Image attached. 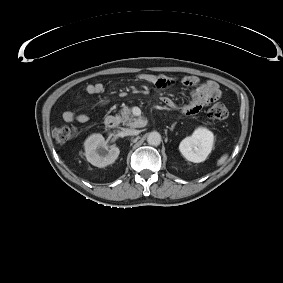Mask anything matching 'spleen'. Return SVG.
<instances>
[{
  "label": "spleen",
  "instance_id": "3e777b00",
  "mask_svg": "<svg viewBox=\"0 0 283 283\" xmlns=\"http://www.w3.org/2000/svg\"><path fill=\"white\" fill-rule=\"evenodd\" d=\"M227 158H228V154H223V155L219 158V160L217 161V165H218V166L223 165V164L226 162Z\"/></svg>",
  "mask_w": 283,
  "mask_h": 283
}]
</instances>
